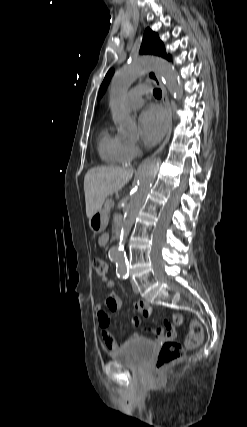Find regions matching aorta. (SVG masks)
<instances>
[{
	"label": "aorta",
	"instance_id": "1",
	"mask_svg": "<svg viewBox=\"0 0 247 427\" xmlns=\"http://www.w3.org/2000/svg\"><path fill=\"white\" fill-rule=\"evenodd\" d=\"M154 70L162 78L170 93L178 100L183 99V86L177 71L166 61L146 56L132 59V61L118 69L110 84V104L112 117L119 131L124 136H135L137 124L135 120L122 108L121 102L132 83L147 70ZM161 159L157 158L147 164L142 170L137 186L131 194L130 202L126 208L121 228L120 242L118 246L109 250V257L116 264L119 274H126L127 259L123 241L129 235L135 218L159 171Z\"/></svg>",
	"mask_w": 247,
	"mask_h": 427
}]
</instances>
